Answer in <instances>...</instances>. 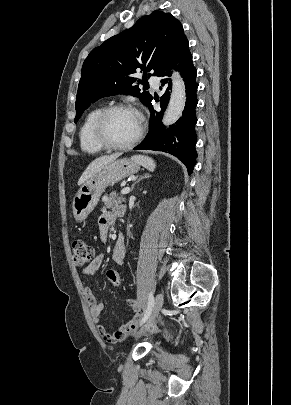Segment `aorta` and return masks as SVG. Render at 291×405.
<instances>
[{
	"label": "aorta",
	"instance_id": "1",
	"mask_svg": "<svg viewBox=\"0 0 291 405\" xmlns=\"http://www.w3.org/2000/svg\"><path fill=\"white\" fill-rule=\"evenodd\" d=\"M186 102V90L183 79L178 72L172 75V92L167 110L163 117L166 126L174 124L182 115Z\"/></svg>",
	"mask_w": 291,
	"mask_h": 405
}]
</instances>
